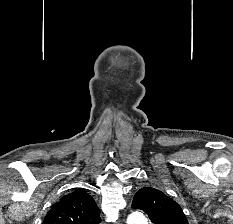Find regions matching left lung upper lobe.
<instances>
[{"label":"left lung upper lobe","instance_id":"obj_1","mask_svg":"<svg viewBox=\"0 0 233 224\" xmlns=\"http://www.w3.org/2000/svg\"><path fill=\"white\" fill-rule=\"evenodd\" d=\"M132 208L146 212L153 224H188L179 204L151 187L141 188L135 194Z\"/></svg>","mask_w":233,"mask_h":224}]
</instances>
